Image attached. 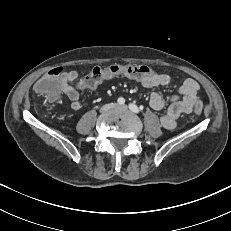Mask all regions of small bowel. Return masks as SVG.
Returning a JSON list of instances; mask_svg holds the SVG:
<instances>
[{"mask_svg":"<svg viewBox=\"0 0 231 231\" xmlns=\"http://www.w3.org/2000/svg\"><path fill=\"white\" fill-rule=\"evenodd\" d=\"M150 71L152 72V70ZM78 76L77 70H70L62 72L57 78L60 92L71 101V107L74 110H81L87 106L86 103L81 101L78 90L80 87L78 86L77 88L73 85ZM137 83L142 91L150 92L155 89L169 87L172 83V78L167 73L147 75L139 77ZM198 90V83L192 78H187L180 85L177 92L168 99L158 92L151 94L149 99L150 106L158 111L166 110L161 117V124L165 129L171 130L175 128L177 119L181 115L193 112L190 103L193 100H199Z\"/></svg>","mask_w":231,"mask_h":231,"instance_id":"1","label":"small bowel"}]
</instances>
